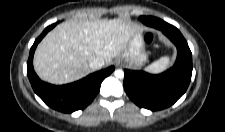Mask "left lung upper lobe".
Here are the masks:
<instances>
[{
  "label": "left lung upper lobe",
  "instance_id": "left-lung-upper-lobe-1",
  "mask_svg": "<svg viewBox=\"0 0 225 132\" xmlns=\"http://www.w3.org/2000/svg\"><path fill=\"white\" fill-rule=\"evenodd\" d=\"M142 17H147V16H141V17H140V20L143 22V18H142Z\"/></svg>",
  "mask_w": 225,
  "mask_h": 132
}]
</instances>
